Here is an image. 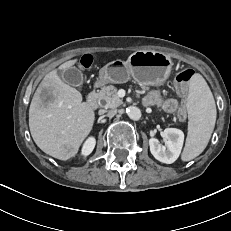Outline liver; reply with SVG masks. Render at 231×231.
Masks as SVG:
<instances>
[{"instance_id": "1", "label": "liver", "mask_w": 231, "mask_h": 231, "mask_svg": "<svg viewBox=\"0 0 231 231\" xmlns=\"http://www.w3.org/2000/svg\"><path fill=\"white\" fill-rule=\"evenodd\" d=\"M76 62L77 59L66 61L58 69H69ZM94 121V111L82 102L81 93L64 83L57 69L50 71L29 108V128L36 145L54 158L67 160L77 153Z\"/></svg>"}]
</instances>
